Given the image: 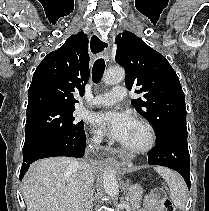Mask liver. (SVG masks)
Segmentation results:
<instances>
[{
	"instance_id": "1",
	"label": "liver",
	"mask_w": 209,
	"mask_h": 211,
	"mask_svg": "<svg viewBox=\"0 0 209 211\" xmlns=\"http://www.w3.org/2000/svg\"><path fill=\"white\" fill-rule=\"evenodd\" d=\"M81 164L68 157L33 163L23 179L27 211H84L87 183Z\"/></svg>"
}]
</instances>
